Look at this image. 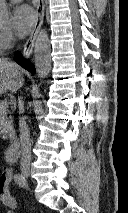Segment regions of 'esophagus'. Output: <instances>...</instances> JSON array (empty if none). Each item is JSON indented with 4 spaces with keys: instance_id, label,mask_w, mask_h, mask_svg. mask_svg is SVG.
<instances>
[{
    "instance_id": "obj_1",
    "label": "esophagus",
    "mask_w": 128,
    "mask_h": 213,
    "mask_svg": "<svg viewBox=\"0 0 128 213\" xmlns=\"http://www.w3.org/2000/svg\"><path fill=\"white\" fill-rule=\"evenodd\" d=\"M44 14H45L44 0H37L36 20L31 30V33L23 47V54L26 58L32 54L37 34L40 31L44 21Z\"/></svg>"
}]
</instances>
